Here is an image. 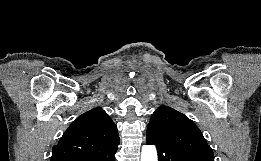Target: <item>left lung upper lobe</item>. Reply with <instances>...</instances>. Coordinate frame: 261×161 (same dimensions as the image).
<instances>
[{"label": "left lung upper lobe", "instance_id": "5c2ea615", "mask_svg": "<svg viewBox=\"0 0 261 161\" xmlns=\"http://www.w3.org/2000/svg\"><path fill=\"white\" fill-rule=\"evenodd\" d=\"M146 140L158 145L180 146L213 156V151L198 127L184 114L168 106L159 107L152 115Z\"/></svg>", "mask_w": 261, "mask_h": 161}]
</instances>
